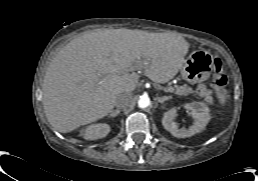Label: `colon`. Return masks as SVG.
<instances>
[{
    "mask_svg": "<svg viewBox=\"0 0 258 181\" xmlns=\"http://www.w3.org/2000/svg\"><path fill=\"white\" fill-rule=\"evenodd\" d=\"M211 84L221 103H226L229 100V91L226 89L227 77L222 70L221 61L217 58L214 60V74Z\"/></svg>",
    "mask_w": 258,
    "mask_h": 181,
    "instance_id": "colon-1",
    "label": "colon"
}]
</instances>
